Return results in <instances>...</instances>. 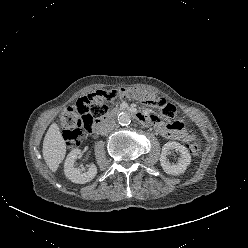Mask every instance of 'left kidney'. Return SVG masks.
I'll use <instances>...</instances> for the list:
<instances>
[{
	"mask_svg": "<svg viewBox=\"0 0 248 248\" xmlns=\"http://www.w3.org/2000/svg\"><path fill=\"white\" fill-rule=\"evenodd\" d=\"M172 149H175L181 154V158H179L177 164H171L167 160V155L170 154V150ZM190 162L191 156L185 146L175 141H170L164 144L160 155V163L164 172L171 175H180L185 172Z\"/></svg>",
	"mask_w": 248,
	"mask_h": 248,
	"instance_id": "obj_1",
	"label": "left kidney"
}]
</instances>
